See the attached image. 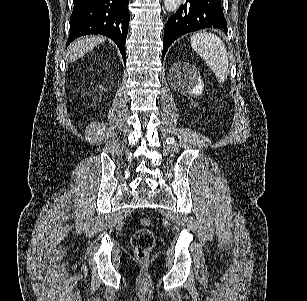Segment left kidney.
I'll return each instance as SVG.
<instances>
[{"label": "left kidney", "instance_id": "5707ae66", "mask_svg": "<svg viewBox=\"0 0 307 301\" xmlns=\"http://www.w3.org/2000/svg\"><path fill=\"white\" fill-rule=\"evenodd\" d=\"M174 72V86L183 92H190L199 96L202 94L204 84L202 78L194 64L190 62H180V64H173Z\"/></svg>", "mask_w": 307, "mask_h": 301}]
</instances>
